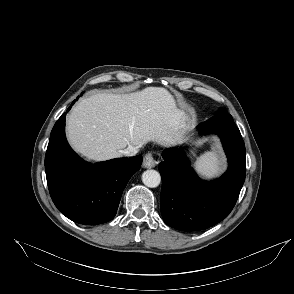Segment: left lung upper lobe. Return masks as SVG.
<instances>
[{"instance_id":"obj_1","label":"left lung upper lobe","mask_w":294,"mask_h":294,"mask_svg":"<svg viewBox=\"0 0 294 294\" xmlns=\"http://www.w3.org/2000/svg\"><path fill=\"white\" fill-rule=\"evenodd\" d=\"M220 113H226L224 109H220Z\"/></svg>"}]
</instances>
